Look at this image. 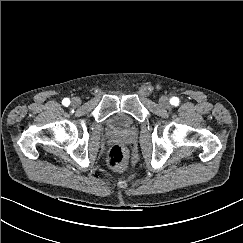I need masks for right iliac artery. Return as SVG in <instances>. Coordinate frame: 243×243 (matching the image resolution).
<instances>
[{"label":"right iliac artery","mask_w":243,"mask_h":243,"mask_svg":"<svg viewBox=\"0 0 243 243\" xmlns=\"http://www.w3.org/2000/svg\"><path fill=\"white\" fill-rule=\"evenodd\" d=\"M62 104L64 106H68L70 104V100L68 98H65L63 101H62Z\"/></svg>","instance_id":"1"}]
</instances>
